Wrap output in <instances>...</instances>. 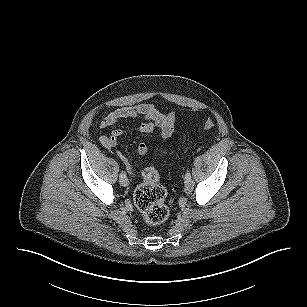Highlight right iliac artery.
Masks as SVG:
<instances>
[{
  "mask_svg": "<svg viewBox=\"0 0 307 307\" xmlns=\"http://www.w3.org/2000/svg\"><path fill=\"white\" fill-rule=\"evenodd\" d=\"M126 176L125 172L120 173V178Z\"/></svg>",
  "mask_w": 307,
  "mask_h": 307,
  "instance_id": "obj_1",
  "label": "right iliac artery"
}]
</instances>
